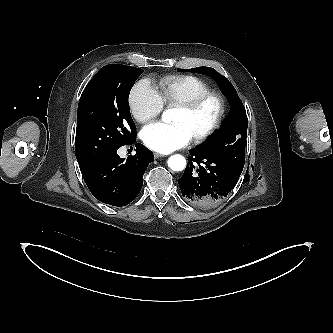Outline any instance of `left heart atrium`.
I'll return each instance as SVG.
<instances>
[{
  "label": "left heart atrium",
  "mask_w": 333,
  "mask_h": 333,
  "mask_svg": "<svg viewBox=\"0 0 333 333\" xmlns=\"http://www.w3.org/2000/svg\"><path fill=\"white\" fill-rule=\"evenodd\" d=\"M192 139L188 129L181 123L156 122L145 126L141 140L146 147L160 153H170L187 146Z\"/></svg>",
  "instance_id": "39dd6f15"
}]
</instances>
